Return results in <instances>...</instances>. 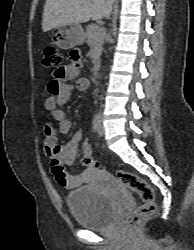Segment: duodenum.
<instances>
[{
	"label": "duodenum",
	"mask_w": 194,
	"mask_h": 250,
	"mask_svg": "<svg viewBox=\"0 0 194 250\" xmlns=\"http://www.w3.org/2000/svg\"><path fill=\"white\" fill-rule=\"evenodd\" d=\"M100 68H101V65L99 62H96L93 67H92V75L94 78H98L99 77V74H100Z\"/></svg>",
	"instance_id": "duodenum-1"
}]
</instances>
